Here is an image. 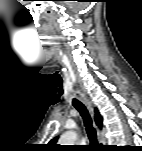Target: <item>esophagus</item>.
<instances>
[{"label": "esophagus", "mask_w": 142, "mask_h": 151, "mask_svg": "<svg viewBox=\"0 0 142 151\" xmlns=\"http://www.w3.org/2000/svg\"><path fill=\"white\" fill-rule=\"evenodd\" d=\"M81 96H82V98H83L84 103L88 106V108L91 109V104H90V102L87 100V98H86L83 94H81Z\"/></svg>", "instance_id": "obj_1"}]
</instances>
